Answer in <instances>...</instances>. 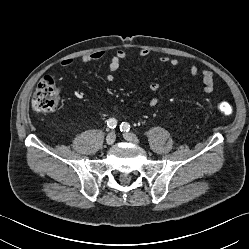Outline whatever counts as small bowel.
<instances>
[{"mask_svg":"<svg viewBox=\"0 0 249 249\" xmlns=\"http://www.w3.org/2000/svg\"><path fill=\"white\" fill-rule=\"evenodd\" d=\"M139 56L141 58H147L149 56L148 50H141L139 52ZM105 57V52L103 51H96L90 54H86L81 58V61L83 63H90L93 61L101 60ZM127 59V54L122 50H115L111 53L109 63H108V74H107V80L113 81L114 80V74L117 72V70L120 68L122 62H124ZM159 61L162 63L169 64L173 67H176L179 65V60L175 57H168V56H161L159 58ZM74 64L73 59H64L61 61V65L63 67H69ZM189 73L191 76L195 77L199 75L198 67L195 64H191L189 66ZM202 82H203V91L207 94L212 93L214 90V75L212 71L210 70H203L200 73ZM159 84L156 82H153L149 86V90L152 94L150 100H149V107L154 108L159 104Z\"/></svg>","mask_w":249,"mask_h":249,"instance_id":"1","label":"small bowel"}]
</instances>
